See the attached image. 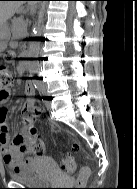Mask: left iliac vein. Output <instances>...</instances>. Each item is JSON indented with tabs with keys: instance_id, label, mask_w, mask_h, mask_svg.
Masks as SVG:
<instances>
[{
	"instance_id": "1",
	"label": "left iliac vein",
	"mask_w": 137,
	"mask_h": 189,
	"mask_svg": "<svg viewBox=\"0 0 137 189\" xmlns=\"http://www.w3.org/2000/svg\"><path fill=\"white\" fill-rule=\"evenodd\" d=\"M44 104H45V107H46L47 109H50V108H51V101L46 100V101L44 102Z\"/></svg>"
}]
</instances>
